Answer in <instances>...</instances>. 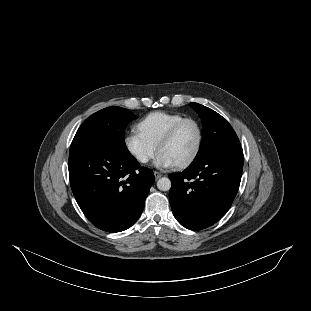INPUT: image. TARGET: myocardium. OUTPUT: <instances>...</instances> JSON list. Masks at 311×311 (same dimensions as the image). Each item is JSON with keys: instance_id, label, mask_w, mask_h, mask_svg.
Segmentation results:
<instances>
[{"instance_id": "myocardium-1", "label": "myocardium", "mask_w": 311, "mask_h": 311, "mask_svg": "<svg viewBox=\"0 0 311 311\" xmlns=\"http://www.w3.org/2000/svg\"><path fill=\"white\" fill-rule=\"evenodd\" d=\"M188 120H194L197 123L198 128H199V142H198L197 149L195 153L193 154V156L190 159L178 164L177 166L179 168H187L193 165L198 160V158L200 157L203 151V147L205 143V128H204L202 121L198 117L192 116V115L182 117L178 122H176L170 128V130L162 137V139L157 145V151L160 152L164 146L168 145L175 139L182 125Z\"/></svg>"}]
</instances>
